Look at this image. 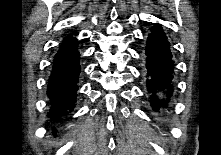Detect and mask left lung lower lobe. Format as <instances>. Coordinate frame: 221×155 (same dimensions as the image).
Listing matches in <instances>:
<instances>
[{
    "label": "left lung lower lobe",
    "mask_w": 221,
    "mask_h": 155,
    "mask_svg": "<svg viewBox=\"0 0 221 155\" xmlns=\"http://www.w3.org/2000/svg\"><path fill=\"white\" fill-rule=\"evenodd\" d=\"M146 68L148 90L155 110L165 106L173 91L172 78L174 63L167 37L161 28L155 27L147 40ZM164 93L167 99H164Z\"/></svg>",
    "instance_id": "0a47b994"
}]
</instances>
